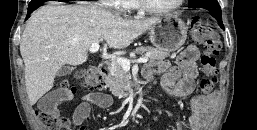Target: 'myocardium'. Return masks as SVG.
Wrapping results in <instances>:
<instances>
[{"label":"myocardium","instance_id":"f54148a6","mask_svg":"<svg viewBox=\"0 0 257 130\" xmlns=\"http://www.w3.org/2000/svg\"><path fill=\"white\" fill-rule=\"evenodd\" d=\"M135 1L137 4V7L140 10L150 14L162 15V14H169L176 11L182 6L185 0H177L173 5L166 8H155L149 5L146 0H135Z\"/></svg>","mask_w":257,"mask_h":130}]
</instances>
